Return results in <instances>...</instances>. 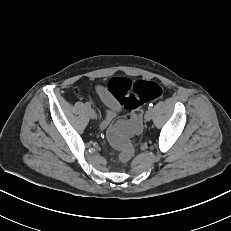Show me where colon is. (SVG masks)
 Segmentation results:
<instances>
[{
  "label": "colon",
  "mask_w": 231,
  "mask_h": 231,
  "mask_svg": "<svg viewBox=\"0 0 231 231\" xmlns=\"http://www.w3.org/2000/svg\"><path fill=\"white\" fill-rule=\"evenodd\" d=\"M109 94L125 109L131 111L128 126H114L108 133L110 144L119 151V160L128 161L134 153V147L128 136L140 129L141 107L163 95V88L158 83L147 80L132 82L125 77H113L107 85Z\"/></svg>",
  "instance_id": "colon-1"
}]
</instances>
